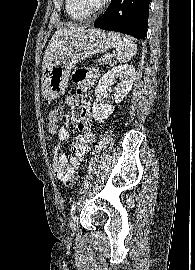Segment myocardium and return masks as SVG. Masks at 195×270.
Instances as JSON below:
<instances>
[{
  "instance_id": "f54148a6",
  "label": "myocardium",
  "mask_w": 195,
  "mask_h": 270,
  "mask_svg": "<svg viewBox=\"0 0 195 270\" xmlns=\"http://www.w3.org/2000/svg\"><path fill=\"white\" fill-rule=\"evenodd\" d=\"M110 0H101L100 3L91 9L84 8L79 0H72L74 8L81 14L90 17L100 12Z\"/></svg>"
}]
</instances>
